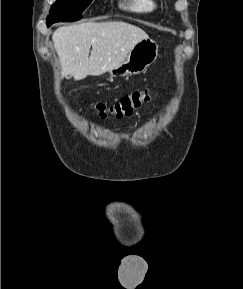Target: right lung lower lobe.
<instances>
[{"label": "right lung lower lobe", "mask_w": 243, "mask_h": 289, "mask_svg": "<svg viewBox=\"0 0 243 289\" xmlns=\"http://www.w3.org/2000/svg\"><path fill=\"white\" fill-rule=\"evenodd\" d=\"M50 25H52V24H50V23H47V26L49 27Z\"/></svg>", "instance_id": "right-lung-lower-lobe-1"}]
</instances>
